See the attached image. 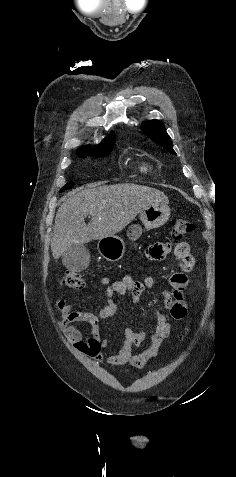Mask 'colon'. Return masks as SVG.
I'll return each instance as SVG.
<instances>
[{
    "instance_id": "obj_1",
    "label": "colon",
    "mask_w": 236,
    "mask_h": 477,
    "mask_svg": "<svg viewBox=\"0 0 236 477\" xmlns=\"http://www.w3.org/2000/svg\"><path fill=\"white\" fill-rule=\"evenodd\" d=\"M195 227L193 222L187 219H177L172 223L171 237L176 241L191 234ZM154 245V244H153ZM189 251L187 248L176 247L175 255H184ZM61 285L70 289H81L86 285L84 276L77 272L68 271L61 278Z\"/></svg>"
}]
</instances>
